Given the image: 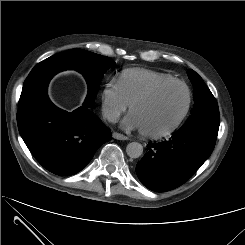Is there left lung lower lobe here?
Instances as JSON below:
<instances>
[{"label":"left lung lower lobe","instance_id":"1","mask_svg":"<svg viewBox=\"0 0 245 245\" xmlns=\"http://www.w3.org/2000/svg\"><path fill=\"white\" fill-rule=\"evenodd\" d=\"M217 134L192 129L177 131L169 141L147 145V154L137 163L141 183L158 192L179 187L190 179L211 155Z\"/></svg>","mask_w":245,"mask_h":245}]
</instances>
